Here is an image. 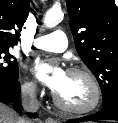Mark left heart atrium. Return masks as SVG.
Listing matches in <instances>:
<instances>
[{
    "instance_id": "39dd6f15",
    "label": "left heart atrium",
    "mask_w": 118,
    "mask_h": 123,
    "mask_svg": "<svg viewBox=\"0 0 118 123\" xmlns=\"http://www.w3.org/2000/svg\"><path fill=\"white\" fill-rule=\"evenodd\" d=\"M35 76L55 93L66 81L67 73L57 62L37 61L32 66Z\"/></svg>"
}]
</instances>
